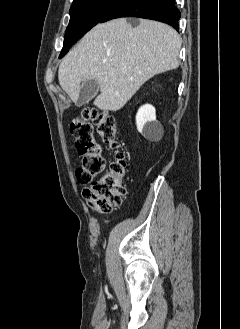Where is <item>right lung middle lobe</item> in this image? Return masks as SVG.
I'll return each mask as SVG.
<instances>
[{
	"mask_svg": "<svg viewBox=\"0 0 240 329\" xmlns=\"http://www.w3.org/2000/svg\"><path fill=\"white\" fill-rule=\"evenodd\" d=\"M121 0H75L70 8V22L66 29L64 45L59 58Z\"/></svg>",
	"mask_w": 240,
	"mask_h": 329,
	"instance_id": "right-lung-middle-lobe-1",
	"label": "right lung middle lobe"
}]
</instances>
